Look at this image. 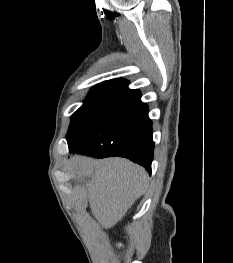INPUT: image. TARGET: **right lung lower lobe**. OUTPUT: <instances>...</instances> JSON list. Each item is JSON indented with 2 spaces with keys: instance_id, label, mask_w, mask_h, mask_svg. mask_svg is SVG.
Listing matches in <instances>:
<instances>
[{
  "instance_id": "1",
  "label": "right lung lower lobe",
  "mask_w": 233,
  "mask_h": 263,
  "mask_svg": "<svg viewBox=\"0 0 233 263\" xmlns=\"http://www.w3.org/2000/svg\"><path fill=\"white\" fill-rule=\"evenodd\" d=\"M139 90L119 96L105 115L84 135L68 141L69 151L97 158L121 156L151 173L154 142L148 107Z\"/></svg>"
}]
</instances>
